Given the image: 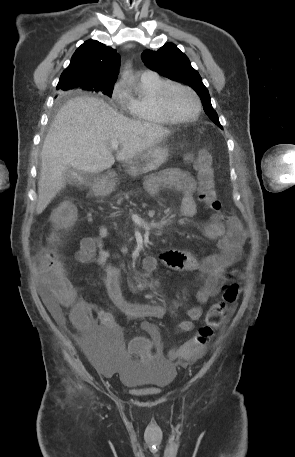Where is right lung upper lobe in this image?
Wrapping results in <instances>:
<instances>
[{
  "instance_id": "1",
  "label": "right lung upper lobe",
  "mask_w": 295,
  "mask_h": 457,
  "mask_svg": "<svg viewBox=\"0 0 295 457\" xmlns=\"http://www.w3.org/2000/svg\"><path fill=\"white\" fill-rule=\"evenodd\" d=\"M120 66V55L115 49L87 40L77 48L70 65L61 74L57 89H72V85L85 83L91 91L106 85H114ZM79 88V87H78Z\"/></svg>"
}]
</instances>
